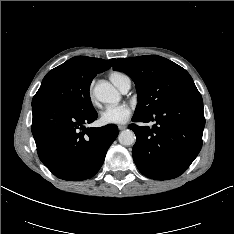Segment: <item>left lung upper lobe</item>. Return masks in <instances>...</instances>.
<instances>
[{"label": "left lung upper lobe", "mask_w": 234, "mask_h": 234, "mask_svg": "<svg viewBox=\"0 0 234 234\" xmlns=\"http://www.w3.org/2000/svg\"><path fill=\"white\" fill-rule=\"evenodd\" d=\"M113 69L126 73L136 84L138 104L134 118L152 114L176 99L198 92L185 69L161 56L120 58Z\"/></svg>", "instance_id": "obj_1"}]
</instances>
